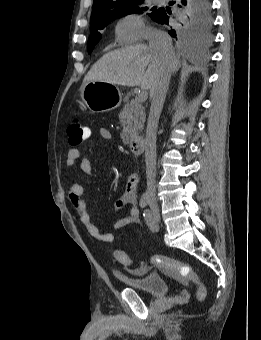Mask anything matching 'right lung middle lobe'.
I'll use <instances>...</instances> for the list:
<instances>
[{"instance_id": "obj_1", "label": "right lung middle lobe", "mask_w": 261, "mask_h": 340, "mask_svg": "<svg viewBox=\"0 0 261 340\" xmlns=\"http://www.w3.org/2000/svg\"><path fill=\"white\" fill-rule=\"evenodd\" d=\"M142 1L129 5L122 9L117 15L105 17L98 21L90 23L91 34L88 39V53H91L94 46L101 39L100 30L105 28L112 20L125 16L127 14L138 13V4ZM148 8H142L147 10ZM152 12L149 16L154 19L159 11L158 8H151ZM176 29L172 30L175 37L178 36L180 39L187 41L207 40L211 35L212 28V16L211 11H206L200 6L192 7V3L187 8L180 10L176 17Z\"/></svg>"}]
</instances>
